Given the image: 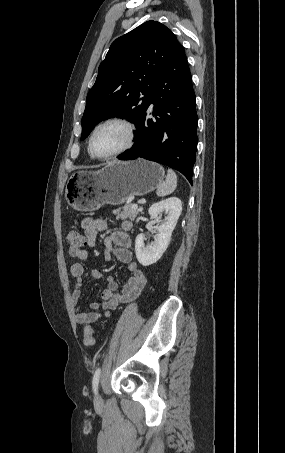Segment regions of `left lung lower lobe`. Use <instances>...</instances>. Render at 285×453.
I'll return each instance as SVG.
<instances>
[{
	"mask_svg": "<svg viewBox=\"0 0 285 453\" xmlns=\"http://www.w3.org/2000/svg\"><path fill=\"white\" fill-rule=\"evenodd\" d=\"M197 121L191 73L180 44L161 72L149 105L135 125L133 147L117 158L141 157L167 165L181 172L192 184Z\"/></svg>",
	"mask_w": 285,
	"mask_h": 453,
	"instance_id": "left-lung-lower-lobe-1",
	"label": "left lung lower lobe"
}]
</instances>
